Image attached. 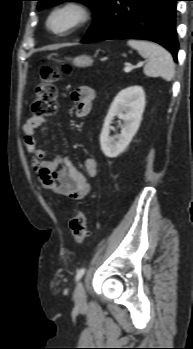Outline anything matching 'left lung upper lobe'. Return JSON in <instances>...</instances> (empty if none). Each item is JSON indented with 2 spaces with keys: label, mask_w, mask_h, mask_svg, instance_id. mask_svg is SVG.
Listing matches in <instances>:
<instances>
[{
  "label": "left lung upper lobe",
  "mask_w": 193,
  "mask_h": 349,
  "mask_svg": "<svg viewBox=\"0 0 193 349\" xmlns=\"http://www.w3.org/2000/svg\"><path fill=\"white\" fill-rule=\"evenodd\" d=\"M37 1H39L38 9L56 5L58 3H62L65 1H78V2L87 4L95 12L96 15H99L107 0H37Z\"/></svg>",
  "instance_id": "5c2ea615"
}]
</instances>
